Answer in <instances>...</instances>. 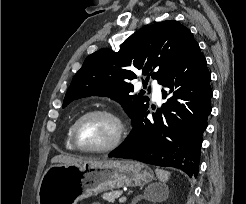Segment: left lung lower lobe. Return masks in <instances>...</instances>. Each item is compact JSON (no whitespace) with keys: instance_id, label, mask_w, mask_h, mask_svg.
Wrapping results in <instances>:
<instances>
[{"instance_id":"0a47b994","label":"left lung lower lobe","mask_w":246,"mask_h":204,"mask_svg":"<svg viewBox=\"0 0 246 204\" xmlns=\"http://www.w3.org/2000/svg\"><path fill=\"white\" fill-rule=\"evenodd\" d=\"M211 75L206 59L196 44L179 66L164 80L166 102L146 118L145 110L133 130L109 157L130 158L144 163L176 167L196 177L202 134L211 113Z\"/></svg>"}]
</instances>
